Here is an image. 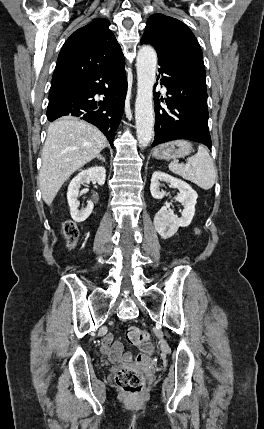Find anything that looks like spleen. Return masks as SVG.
<instances>
[{
  "instance_id": "3e777b00",
  "label": "spleen",
  "mask_w": 264,
  "mask_h": 429,
  "mask_svg": "<svg viewBox=\"0 0 264 429\" xmlns=\"http://www.w3.org/2000/svg\"><path fill=\"white\" fill-rule=\"evenodd\" d=\"M169 169L182 178L195 183L204 190H209L215 184L217 171L207 149L199 145L194 156L187 159V164L171 162Z\"/></svg>"
}]
</instances>
